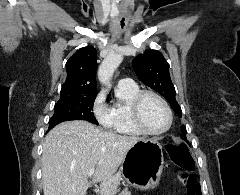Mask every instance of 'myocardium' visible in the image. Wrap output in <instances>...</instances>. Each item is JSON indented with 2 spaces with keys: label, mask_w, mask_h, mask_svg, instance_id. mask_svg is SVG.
<instances>
[{
  "label": "myocardium",
  "mask_w": 240,
  "mask_h": 195,
  "mask_svg": "<svg viewBox=\"0 0 240 195\" xmlns=\"http://www.w3.org/2000/svg\"><path fill=\"white\" fill-rule=\"evenodd\" d=\"M153 97L159 101V103L162 105L165 115H166V123L165 125L159 129V130H152L149 129L143 122L142 119V104L146 97ZM132 118L136 125V127L143 133L147 135H161L165 132H167L172 124V112L171 109L167 103V101L158 93L152 90H141L139 91L133 101H132Z\"/></svg>",
  "instance_id": "1"
}]
</instances>
